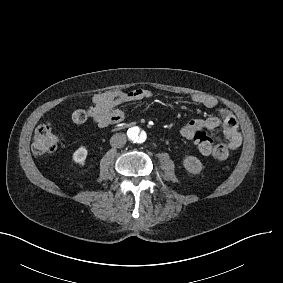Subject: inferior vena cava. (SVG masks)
I'll return each mask as SVG.
<instances>
[{"mask_svg":"<svg viewBox=\"0 0 283 283\" xmlns=\"http://www.w3.org/2000/svg\"><path fill=\"white\" fill-rule=\"evenodd\" d=\"M126 142H127V138H126V135L124 133L114 134L110 138V145L112 147H115V148H122V147H124Z\"/></svg>","mask_w":283,"mask_h":283,"instance_id":"inferior-vena-cava-1","label":"inferior vena cava"}]
</instances>
